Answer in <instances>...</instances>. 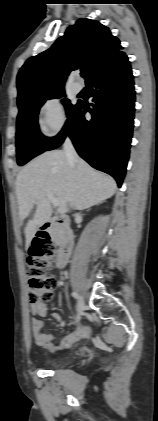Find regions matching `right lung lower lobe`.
Here are the masks:
<instances>
[{
    "label": "right lung lower lobe",
    "instance_id": "98d812e1",
    "mask_svg": "<svg viewBox=\"0 0 158 421\" xmlns=\"http://www.w3.org/2000/svg\"><path fill=\"white\" fill-rule=\"evenodd\" d=\"M93 103L78 102L62 131L45 151L59 147L69 135L78 154L92 167L113 176L120 187L132 138L135 91L130 62L123 52L86 82ZM92 115L86 120L84 113Z\"/></svg>",
    "mask_w": 158,
    "mask_h": 421
}]
</instances>
